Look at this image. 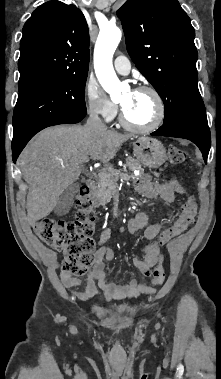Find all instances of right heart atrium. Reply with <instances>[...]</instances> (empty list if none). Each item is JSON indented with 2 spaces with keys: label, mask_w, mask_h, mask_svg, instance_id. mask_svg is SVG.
<instances>
[{
  "label": "right heart atrium",
  "mask_w": 221,
  "mask_h": 379,
  "mask_svg": "<svg viewBox=\"0 0 221 379\" xmlns=\"http://www.w3.org/2000/svg\"><path fill=\"white\" fill-rule=\"evenodd\" d=\"M84 96L86 106L91 114L105 122H110L115 118L117 106L97 83L88 81L85 85Z\"/></svg>",
  "instance_id": "obj_1"
}]
</instances>
